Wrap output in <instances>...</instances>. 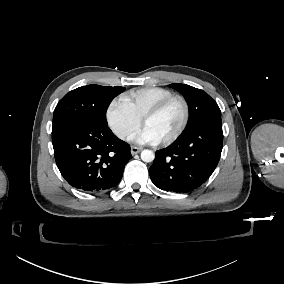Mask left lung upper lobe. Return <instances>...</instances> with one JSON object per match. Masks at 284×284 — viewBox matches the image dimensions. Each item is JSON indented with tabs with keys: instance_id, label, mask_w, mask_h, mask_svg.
<instances>
[{
	"instance_id": "5c2ea615",
	"label": "left lung upper lobe",
	"mask_w": 284,
	"mask_h": 284,
	"mask_svg": "<svg viewBox=\"0 0 284 284\" xmlns=\"http://www.w3.org/2000/svg\"><path fill=\"white\" fill-rule=\"evenodd\" d=\"M170 86L179 91L188 103L189 121L186 130L208 122L221 123V111L206 92L186 84L173 83Z\"/></svg>"
}]
</instances>
